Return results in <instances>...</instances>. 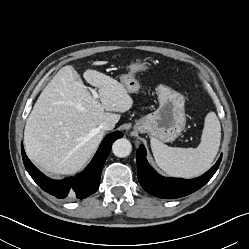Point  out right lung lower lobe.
<instances>
[{"instance_id":"1","label":"right lung lower lobe","mask_w":249,"mask_h":249,"mask_svg":"<svg viewBox=\"0 0 249 249\" xmlns=\"http://www.w3.org/2000/svg\"><path fill=\"white\" fill-rule=\"evenodd\" d=\"M123 136L116 131L102 141L91 163L84 172L64 180H52L42 174L28 159L21 144L22 158L26 170L41 189L57 198L83 199L97 191L103 164L110 152L112 143Z\"/></svg>"}]
</instances>
